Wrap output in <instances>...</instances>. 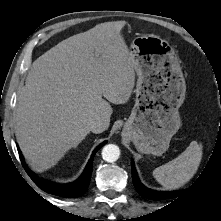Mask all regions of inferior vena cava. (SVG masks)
Listing matches in <instances>:
<instances>
[{"instance_id":"inferior-vena-cava-1","label":"inferior vena cava","mask_w":221,"mask_h":221,"mask_svg":"<svg viewBox=\"0 0 221 221\" xmlns=\"http://www.w3.org/2000/svg\"><path fill=\"white\" fill-rule=\"evenodd\" d=\"M107 127H108V124L106 122H104L101 119H97L91 122L90 131H92L93 133H101L104 130H106Z\"/></svg>"}]
</instances>
